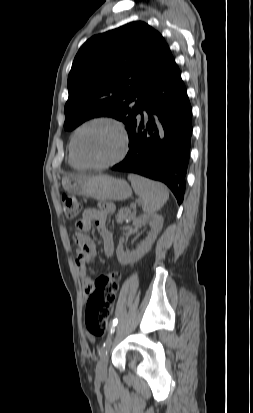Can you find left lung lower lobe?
Segmentation results:
<instances>
[{"instance_id": "1", "label": "left lung lower lobe", "mask_w": 253, "mask_h": 413, "mask_svg": "<svg viewBox=\"0 0 253 413\" xmlns=\"http://www.w3.org/2000/svg\"><path fill=\"white\" fill-rule=\"evenodd\" d=\"M128 134L130 150L112 169L164 182L181 204L190 155L192 108L174 58L145 95Z\"/></svg>"}]
</instances>
